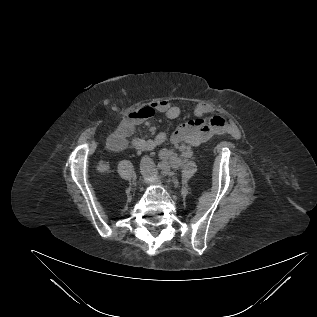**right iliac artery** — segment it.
I'll use <instances>...</instances> for the list:
<instances>
[{
  "mask_svg": "<svg viewBox=\"0 0 317 317\" xmlns=\"http://www.w3.org/2000/svg\"><path fill=\"white\" fill-rule=\"evenodd\" d=\"M157 167H158V169H165L166 164L163 162H160V163H158Z\"/></svg>",
  "mask_w": 317,
  "mask_h": 317,
  "instance_id": "right-iliac-artery-1",
  "label": "right iliac artery"
}]
</instances>
